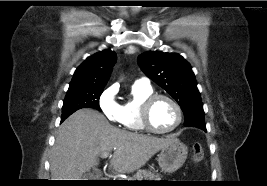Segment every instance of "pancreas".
Segmentation results:
<instances>
[{
	"label": "pancreas",
	"mask_w": 267,
	"mask_h": 186,
	"mask_svg": "<svg viewBox=\"0 0 267 186\" xmlns=\"http://www.w3.org/2000/svg\"><path fill=\"white\" fill-rule=\"evenodd\" d=\"M131 181H160L161 176L158 173H154L151 171L143 170L139 173L135 174L131 179Z\"/></svg>",
	"instance_id": "pancreas-1"
}]
</instances>
